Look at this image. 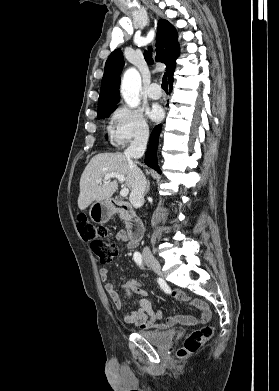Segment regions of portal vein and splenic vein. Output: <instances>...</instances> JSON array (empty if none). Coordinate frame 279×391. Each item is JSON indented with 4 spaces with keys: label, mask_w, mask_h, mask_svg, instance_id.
<instances>
[{
    "label": "portal vein and splenic vein",
    "mask_w": 279,
    "mask_h": 391,
    "mask_svg": "<svg viewBox=\"0 0 279 391\" xmlns=\"http://www.w3.org/2000/svg\"><path fill=\"white\" fill-rule=\"evenodd\" d=\"M112 177H116L121 183L124 182V176H123L122 174H119V173H110V174H108V175L104 178V180H108V179H110V178H112ZM96 183H97V184L101 183V180H96ZM128 194H129V189L126 188V187H123V188L121 189V191H120V195H121L122 197H126Z\"/></svg>",
    "instance_id": "obj_1"
}]
</instances>
